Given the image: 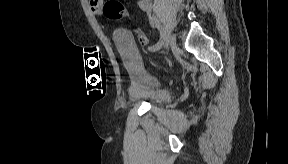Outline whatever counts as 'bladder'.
I'll return each instance as SVG.
<instances>
[{
  "label": "bladder",
  "mask_w": 288,
  "mask_h": 164,
  "mask_svg": "<svg viewBox=\"0 0 288 164\" xmlns=\"http://www.w3.org/2000/svg\"><path fill=\"white\" fill-rule=\"evenodd\" d=\"M116 43L130 76V98L153 106L166 103L169 94L163 79L144 67L137 49L124 34L117 36Z\"/></svg>",
  "instance_id": "bladder-1"
}]
</instances>
